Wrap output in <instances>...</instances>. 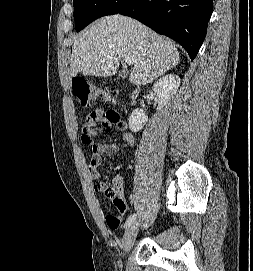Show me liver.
<instances>
[{"mask_svg": "<svg viewBox=\"0 0 253 271\" xmlns=\"http://www.w3.org/2000/svg\"><path fill=\"white\" fill-rule=\"evenodd\" d=\"M121 58L133 62L129 80L134 85L153 82L180 61L171 41L130 17L111 15L95 21L75 39L69 76H112Z\"/></svg>", "mask_w": 253, "mask_h": 271, "instance_id": "1", "label": "liver"}]
</instances>
